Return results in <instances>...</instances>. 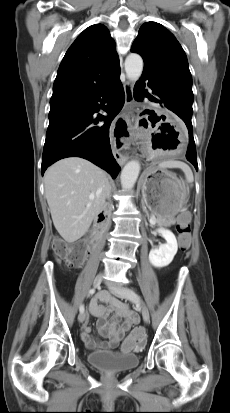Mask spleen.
Wrapping results in <instances>:
<instances>
[{
  "mask_svg": "<svg viewBox=\"0 0 230 413\" xmlns=\"http://www.w3.org/2000/svg\"><path fill=\"white\" fill-rule=\"evenodd\" d=\"M160 168H179L181 169L186 177V181L190 184L193 183L194 177L191 168L184 162L181 161H175V160H168L161 162L159 164Z\"/></svg>",
  "mask_w": 230,
  "mask_h": 413,
  "instance_id": "3e777b00",
  "label": "spleen"
}]
</instances>
